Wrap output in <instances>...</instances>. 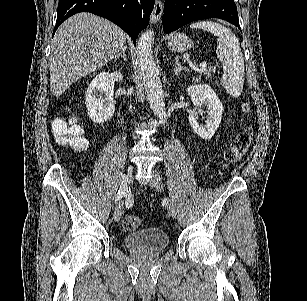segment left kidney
<instances>
[{"instance_id":"5707ae66","label":"left kidney","mask_w":307,"mask_h":301,"mask_svg":"<svg viewBox=\"0 0 307 301\" xmlns=\"http://www.w3.org/2000/svg\"><path fill=\"white\" fill-rule=\"evenodd\" d=\"M186 92L190 94L194 106H202V104L206 106V110L193 108L189 112L188 120L194 132L199 134L201 138H211L222 120L223 104L220 98H218L216 92H214L209 84H190L186 88ZM197 110L207 112L206 124L199 122Z\"/></svg>"}]
</instances>
